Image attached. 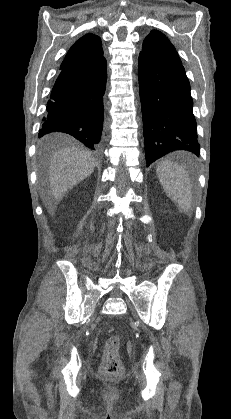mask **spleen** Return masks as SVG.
I'll list each match as a JSON object with an SVG mask.
<instances>
[{"instance_id":"obj_1","label":"spleen","mask_w":231,"mask_h":419,"mask_svg":"<svg viewBox=\"0 0 231 419\" xmlns=\"http://www.w3.org/2000/svg\"><path fill=\"white\" fill-rule=\"evenodd\" d=\"M156 172L166 194L182 211L187 212L192 203V187L185 170L177 163L162 161Z\"/></svg>"}]
</instances>
